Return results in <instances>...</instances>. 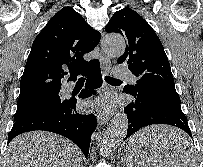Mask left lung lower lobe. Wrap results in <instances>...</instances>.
Segmentation results:
<instances>
[{
  "label": "left lung lower lobe",
  "instance_id": "1",
  "mask_svg": "<svg viewBox=\"0 0 203 167\" xmlns=\"http://www.w3.org/2000/svg\"><path fill=\"white\" fill-rule=\"evenodd\" d=\"M180 98L157 99L155 95L134 98L124 109L128 116L127 137L138 131L140 128L153 124H168L184 130L192 138L191 131L185 114L181 110ZM182 143V149H188L190 138ZM142 148L156 146V141H143Z\"/></svg>",
  "mask_w": 203,
  "mask_h": 167
}]
</instances>
